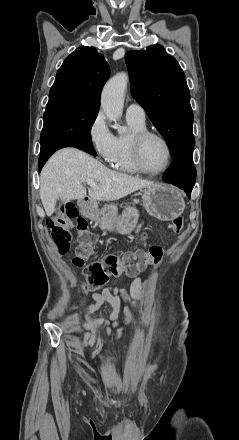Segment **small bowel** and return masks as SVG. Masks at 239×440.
I'll use <instances>...</instances> for the list:
<instances>
[{"label":"small bowel","instance_id":"small-bowel-1","mask_svg":"<svg viewBox=\"0 0 239 440\" xmlns=\"http://www.w3.org/2000/svg\"><path fill=\"white\" fill-rule=\"evenodd\" d=\"M142 225L138 228L140 232ZM144 239V235H141ZM147 281L141 277L136 278L129 291H126L117 287H107L99 293H93L89 299V303L84 310V322H83V345L91 346L94 344L99 329L103 328L107 335L113 334L118 340L123 336V329L118 328V316L121 309V304H129L132 308H135L138 301L141 298L143 289L146 287ZM104 302H108L113 311L110 314L109 319L92 318L91 314L96 311ZM133 319L131 309L126 306L124 308V323L130 327Z\"/></svg>","mask_w":239,"mask_h":440}]
</instances>
